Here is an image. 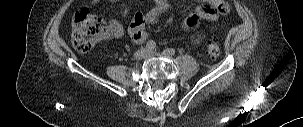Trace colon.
Masks as SVG:
<instances>
[{
    "label": "colon",
    "instance_id": "1",
    "mask_svg": "<svg viewBox=\"0 0 303 127\" xmlns=\"http://www.w3.org/2000/svg\"><path fill=\"white\" fill-rule=\"evenodd\" d=\"M217 30L215 24L210 26V33L213 35ZM106 35V26L97 16L80 10L75 14L73 21V44L77 51L85 53L96 46ZM208 55L216 59L220 56V48L214 41L207 44Z\"/></svg>",
    "mask_w": 303,
    "mask_h": 127
}]
</instances>
